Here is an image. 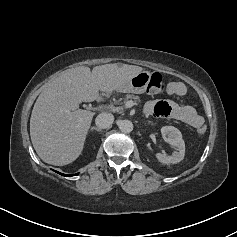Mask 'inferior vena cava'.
<instances>
[{
    "label": "inferior vena cava",
    "mask_w": 237,
    "mask_h": 237,
    "mask_svg": "<svg viewBox=\"0 0 237 237\" xmlns=\"http://www.w3.org/2000/svg\"><path fill=\"white\" fill-rule=\"evenodd\" d=\"M113 121H114V116L111 113H105V112L99 114L95 119V123L97 127L101 129L110 127Z\"/></svg>",
    "instance_id": "obj_1"
}]
</instances>
